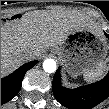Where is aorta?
Masks as SVG:
<instances>
[{
	"label": "aorta",
	"instance_id": "obj_1",
	"mask_svg": "<svg viewBox=\"0 0 109 109\" xmlns=\"http://www.w3.org/2000/svg\"><path fill=\"white\" fill-rule=\"evenodd\" d=\"M43 69L48 73H53L56 71V62L53 59H46L43 62Z\"/></svg>",
	"mask_w": 109,
	"mask_h": 109
}]
</instances>
